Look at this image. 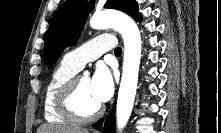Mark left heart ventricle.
<instances>
[{
	"mask_svg": "<svg viewBox=\"0 0 221 133\" xmlns=\"http://www.w3.org/2000/svg\"><path fill=\"white\" fill-rule=\"evenodd\" d=\"M75 104L81 115H90L101 105L92 93L91 79L89 77L82 76L80 79Z\"/></svg>",
	"mask_w": 221,
	"mask_h": 133,
	"instance_id": "b2bd125f",
	"label": "left heart ventricle"
}]
</instances>
